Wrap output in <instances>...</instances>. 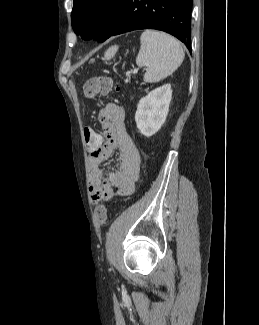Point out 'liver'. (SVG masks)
I'll list each match as a JSON object with an SVG mask.
<instances>
[{
  "label": "liver",
  "instance_id": "liver-1",
  "mask_svg": "<svg viewBox=\"0 0 259 325\" xmlns=\"http://www.w3.org/2000/svg\"><path fill=\"white\" fill-rule=\"evenodd\" d=\"M114 53V48H109L105 53V59H109Z\"/></svg>",
  "mask_w": 259,
  "mask_h": 325
}]
</instances>
